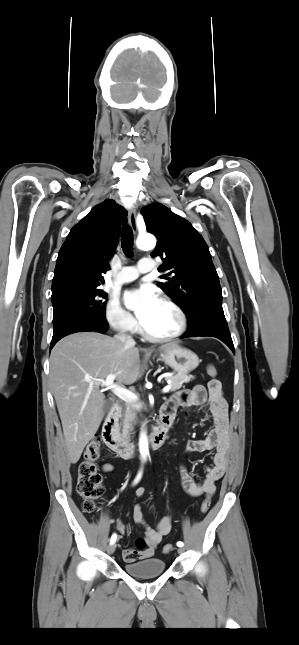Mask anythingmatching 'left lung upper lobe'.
Returning a JSON list of instances; mask_svg holds the SVG:
<instances>
[{"label": "left lung upper lobe", "mask_w": 299, "mask_h": 645, "mask_svg": "<svg viewBox=\"0 0 299 645\" xmlns=\"http://www.w3.org/2000/svg\"><path fill=\"white\" fill-rule=\"evenodd\" d=\"M141 213L147 231L159 240L151 256H160L164 263L159 272H168L161 276L167 281L159 282L158 286L186 314L188 330H201L207 320V309L222 303L219 277L206 242L187 220L163 204L152 203Z\"/></svg>", "instance_id": "obj_1"}]
</instances>
